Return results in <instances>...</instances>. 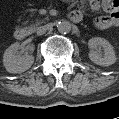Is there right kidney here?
Here are the masks:
<instances>
[{"label":"right kidney","instance_id":"ca27d5eb","mask_svg":"<svg viewBox=\"0 0 119 119\" xmlns=\"http://www.w3.org/2000/svg\"><path fill=\"white\" fill-rule=\"evenodd\" d=\"M20 43L16 42L6 49L3 56V63L9 73H22L28 70L33 62L32 55H21L18 52Z\"/></svg>","mask_w":119,"mask_h":119}]
</instances>
